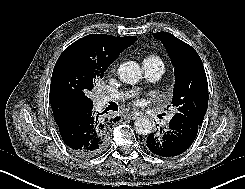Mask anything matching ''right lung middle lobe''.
<instances>
[{"label": "right lung middle lobe", "instance_id": "obj_1", "mask_svg": "<svg viewBox=\"0 0 245 189\" xmlns=\"http://www.w3.org/2000/svg\"><path fill=\"white\" fill-rule=\"evenodd\" d=\"M106 69L97 65H86L69 72L64 85L69 96L78 106L87 107L93 105L87 93L93 89V84L96 80L102 79Z\"/></svg>", "mask_w": 245, "mask_h": 189}]
</instances>
